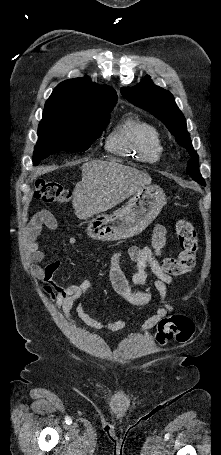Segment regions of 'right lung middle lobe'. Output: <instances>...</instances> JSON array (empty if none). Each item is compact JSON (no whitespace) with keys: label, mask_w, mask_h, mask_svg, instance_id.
<instances>
[{"label":"right lung middle lobe","mask_w":221,"mask_h":455,"mask_svg":"<svg viewBox=\"0 0 221 455\" xmlns=\"http://www.w3.org/2000/svg\"><path fill=\"white\" fill-rule=\"evenodd\" d=\"M111 111L107 109L86 118H65L44 113L38 128L34 165L58 151L83 152L89 149L108 125Z\"/></svg>","instance_id":"dd1d6c3e"}]
</instances>
